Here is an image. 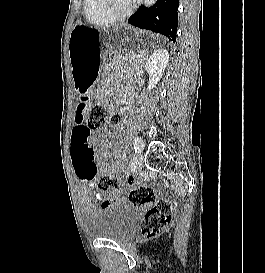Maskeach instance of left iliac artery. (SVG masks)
I'll list each match as a JSON object with an SVG mask.
<instances>
[{"mask_svg":"<svg viewBox=\"0 0 265 273\" xmlns=\"http://www.w3.org/2000/svg\"><path fill=\"white\" fill-rule=\"evenodd\" d=\"M134 149H135V152L139 151L140 150V142L138 139L135 138L134 140Z\"/></svg>","mask_w":265,"mask_h":273,"instance_id":"left-iliac-artery-1","label":"left iliac artery"}]
</instances>
